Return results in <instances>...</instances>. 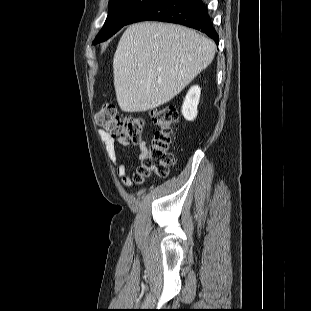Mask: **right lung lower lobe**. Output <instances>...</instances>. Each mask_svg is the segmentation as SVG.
Here are the masks:
<instances>
[{
	"mask_svg": "<svg viewBox=\"0 0 311 311\" xmlns=\"http://www.w3.org/2000/svg\"><path fill=\"white\" fill-rule=\"evenodd\" d=\"M162 21L181 24L205 33L218 44L219 37L202 0H154L127 23Z\"/></svg>",
	"mask_w": 311,
	"mask_h": 311,
	"instance_id": "right-lung-lower-lobe-1",
	"label": "right lung lower lobe"
}]
</instances>
